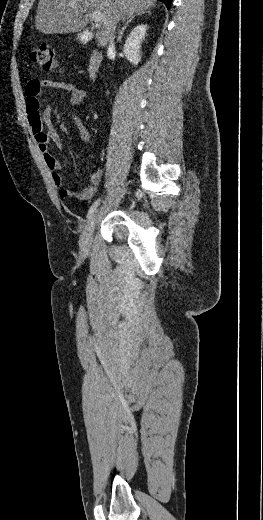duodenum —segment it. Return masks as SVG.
Segmentation results:
<instances>
[{"label":"duodenum","mask_w":263,"mask_h":520,"mask_svg":"<svg viewBox=\"0 0 263 520\" xmlns=\"http://www.w3.org/2000/svg\"><path fill=\"white\" fill-rule=\"evenodd\" d=\"M102 62V54L98 50L92 51L87 67L88 76L94 80L99 72Z\"/></svg>","instance_id":"duodenum-1"}]
</instances>
